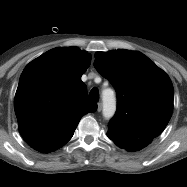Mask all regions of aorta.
I'll use <instances>...</instances> for the list:
<instances>
[{
  "instance_id": "762f6f07",
  "label": "aorta",
  "mask_w": 187,
  "mask_h": 187,
  "mask_svg": "<svg viewBox=\"0 0 187 187\" xmlns=\"http://www.w3.org/2000/svg\"><path fill=\"white\" fill-rule=\"evenodd\" d=\"M103 116L107 119L113 117L116 111V99L112 89H104L102 92Z\"/></svg>"
}]
</instances>
